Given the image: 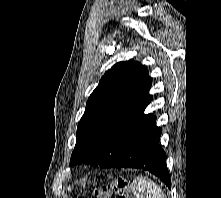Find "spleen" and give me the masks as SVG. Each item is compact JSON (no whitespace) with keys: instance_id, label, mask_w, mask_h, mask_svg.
Returning <instances> with one entry per match:
<instances>
[{"instance_id":"obj_1","label":"spleen","mask_w":221,"mask_h":198,"mask_svg":"<svg viewBox=\"0 0 221 198\" xmlns=\"http://www.w3.org/2000/svg\"><path fill=\"white\" fill-rule=\"evenodd\" d=\"M136 198H166L161 188L148 177L138 176L132 182Z\"/></svg>"}]
</instances>
